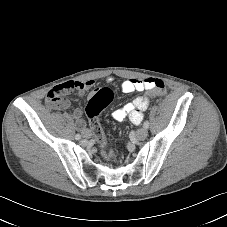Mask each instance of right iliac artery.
Returning <instances> with one entry per match:
<instances>
[{
  "label": "right iliac artery",
  "instance_id": "1",
  "mask_svg": "<svg viewBox=\"0 0 227 227\" xmlns=\"http://www.w3.org/2000/svg\"><path fill=\"white\" fill-rule=\"evenodd\" d=\"M75 139H76V140H80V139H81V135H80V134H76V135H75Z\"/></svg>",
  "mask_w": 227,
  "mask_h": 227
}]
</instances>
